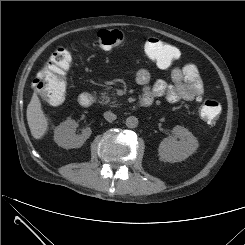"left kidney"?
<instances>
[{"mask_svg": "<svg viewBox=\"0 0 245 245\" xmlns=\"http://www.w3.org/2000/svg\"><path fill=\"white\" fill-rule=\"evenodd\" d=\"M197 147L198 141L190 131L182 126H175L171 135L160 143L158 153L162 161L174 163L188 158Z\"/></svg>", "mask_w": 245, "mask_h": 245, "instance_id": "1", "label": "left kidney"}]
</instances>
